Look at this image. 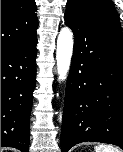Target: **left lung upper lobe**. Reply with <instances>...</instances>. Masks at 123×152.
I'll return each instance as SVG.
<instances>
[{
  "instance_id": "left-lung-upper-lobe-1",
  "label": "left lung upper lobe",
  "mask_w": 123,
  "mask_h": 152,
  "mask_svg": "<svg viewBox=\"0 0 123 152\" xmlns=\"http://www.w3.org/2000/svg\"><path fill=\"white\" fill-rule=\"evenodd\" d=\"M77 12L121 38L118 13L111 0H68L66 12Z\"/></svg>"
}]
</instances>
